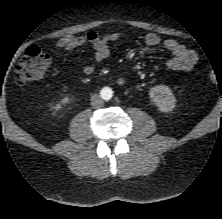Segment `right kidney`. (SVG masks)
Instances as JSON below:
<instances>
[{
    "label": "right kidney",
    "instance_id": "1",
    "mask_svg": "<svg viewBox=\"0 0 222 219\" xmlns=\"http://www.w3.org/2000/svg\"><path fill=\"white\" fill-rule=\"evenodd\" d=\"M69 101H70L69 96H65L64 98H62L61 101L55 105V107H54L55 111L61 110L62 106L69 103Z\"/></svg>",
    "mask_w": 222,
    "mask_h": 219
}]
</instances>
